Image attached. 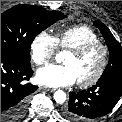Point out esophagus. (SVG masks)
Masks as SVG:
<instances>
[{"mask_svg":"<svg viewBox=\"0 0 122 122\" xmlns=\"http://www.w3.org/2000/svg\"><path fill=\"white\" fill-rule=\"evenodd\" d=\"M41 89L44 90V91H50V92H54L56 90L54 88H49V87H46V86L41 87Z\"/></svg>","mask_w":122,"mask_h":122,"instance_id":"1","label":"esophagus"}]
</instances>
